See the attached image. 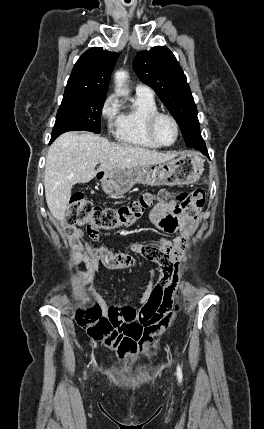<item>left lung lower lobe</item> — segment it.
<instances>
[{
  "mask_svg": "<svg viewBox=\"0 0 264 429\" xmlns=\"http://www.w3.org/2000/svg\"><path fill=\"white\" fill-rule=\"evenodd\" d=\"M195 149H198V150H200L201 152H203L204 154H207V150H206V149H203V148H195Z\"/></svg>",
  "mask_w": 264,
  "mask_h": 429,
  "instance_id": "0a47b994",
  "label": "left lung lower lobe"
}]
</instances>
